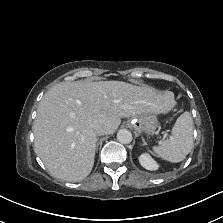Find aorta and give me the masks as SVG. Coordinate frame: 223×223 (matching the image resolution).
I'll return each mask as SVG.
<instances>
[{"mask_svg": "<svg viewBox=\"0 0 223 223\" xmlns=\"http://www.w3.org/2000/svg\"><path fill=\"white\" fill-rule=\"evenodd\" d=\"M132 138V133L127 129H120L117 132V140L122 144H129Z\"/></svg>", "mask_w": 223, "mask_h": 223, "instance_id": "762f6f07", "label": "aorta"}]
</instances>
